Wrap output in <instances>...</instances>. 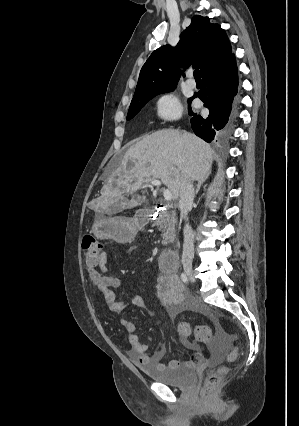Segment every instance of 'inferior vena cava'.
<instances>
[{"label": "inferior vena cava", "instance_id": "inferior-vena-cava-1", "mask_svg": "<svg viewBox=\"0 0 299 426\" xmlns=\"http://www.w3.org/2000/svg\"><path fill=\"white\" fill-rule=\"evenodd\" d=\"M194 200V187L190 180H183L180 195L179 209L180 216L187 222L188 212L192 209ZM184 242L182 252V263L185 268L192 266L194 258V234L189 223H186L183 229Z\"/></svg>", "mask_w": 299, "mask_h": 426}]
</instances>
